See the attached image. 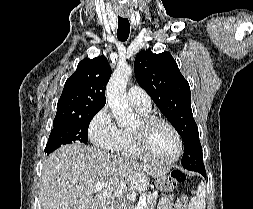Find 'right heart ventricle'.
<instances>
[{"mask_svg": "<svg viewBox=\"0 0 253 209\" xmlns=\"http://www.w3.org/2000/svg\"><path fill=\"white\" fill-rule=\"evenodd\" d=\"M136 109L140 112V114L143 115H149L150 114V107H140L135 105ZM116 151L125 157L132 158V159H140L142 156L137 151V148L135 146L134 137L132 134V129H124L122 131V141Z\"/></svg>", "mask_w": 253, "mask_h": 209, "instance_id": "1", "label": "right heart ventricle"}]
</instances>
